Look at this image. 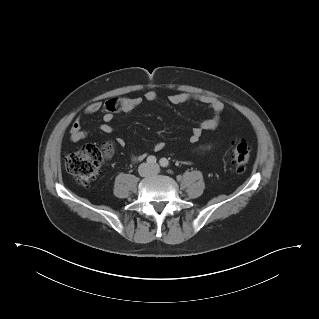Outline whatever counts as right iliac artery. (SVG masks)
I'll use <instances>...</instances> for the list:
<instances>
[{"mask_svg": "<svg viewBox=\"0 0 319 319\" xmlns=\"http://www.w3.org/2000/svg\"><path fill=\"white\" fill-rule=\"evenodd\" d=\"M147 162H148L149 164H154V163H156V158H155V156H149V157L147 158Z\"/></svg>", "mask_w": 319, "mask_h": 319, "instance_id": "82829eb1", "label": "right iliac artery"}]
</instances>
